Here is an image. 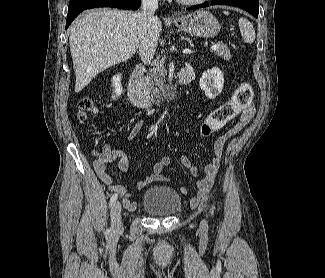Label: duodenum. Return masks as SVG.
<instances>
[{"instance_id": "1", "label": "duodenum", "mask_w": 325, "mask_h": 278, "mask_svg": "<svg viewBox=\"0 0 325 278\" xmlns=\"http://www.w3.org/2000/svg\"><path fill=\"white\" fill-rule=\"evenodd\" d=\"M144 74V68L137 66L127 83V94L131 103L141 109H152L156 106V103L152 101L146 94H144L141 87V80ZM192 71L190 67H184L178 74L177 87L188 85L191 82ZM176 88H173L168 94L166 101L171 100L175 93Z\"/></svg>"}]
</instances>
